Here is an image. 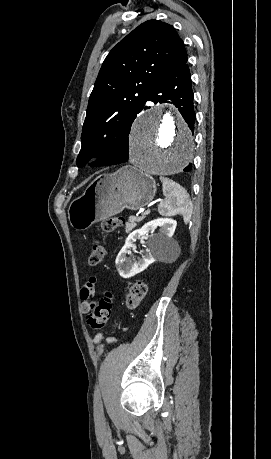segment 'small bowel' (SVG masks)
Instances as JSON below:
<instances>
[{
	"label": "small bowel",
	"mask_w": 271,
	"mask_h": 459,
	"mask_svg": "<svg viewBox=\"0 0 271 459\" xmlns=\"http://www.w3.org/2000/svg\"><path fill=\"white\" fill-rule=\"evenodd\" d=\"M96 284H97L96 276H91L85 281V283H84V285H83V287H82V289L80 291V298L82 300V309H83V312L86 313V314L90 310V306H91V303H92V298L94 297L95 291H96ZM103 339H104V337H103L102 334H97L94 337L95 343H100ZM106 341H107V343H113L115 341V339L114 338H107Z\"/></svg>",
	"instance_id": "small-bowel-1"
}]
</instances>
